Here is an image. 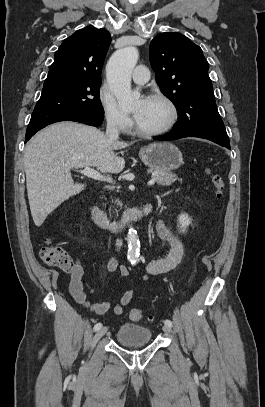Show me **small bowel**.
<instances>
[{"mask_svg":"<svg viewBox=\"0 0 265 407\" xmlns=\"http://www.w3.org/2000/svg\"><path fill=\"white\" fill-rule=\"evenodd\" d=\"M158 236L170 244V250L165 257L151 260L146 268L147 276H157L174 269L183 258V244L171 230L162 222L159 221L156 225ZM108 270L112 273L118 272L119 277L129 275V270L125 267L119 268L115 258H111L108 262ZM71 278L69 290L73 298L82 306L90 310L92 313L102 315L110 309L116 315H121L124 308L130 303L133 298L134 290L130 289L123 293L118 302L112 305L110 300L101 302H92L86 298L83 285L84 268L79 260H76L73 268L70 271Z\"/></svg>","mask_w":265,"mask_h":407,"instance_id":"1","label":"small bowel"}]
</instances>
